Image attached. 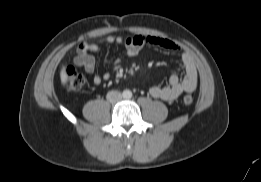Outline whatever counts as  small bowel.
<instances>
[{
    "label": "small bowel",
    "mask_w": 261,
    "mask_h": 182,
    "mask_svg": "<svg viewBox=\"0 0 261 182\" xmlns=\"http://www.w3.org/2000/svg\"><path fill=\"white\" fill-rule=\"evenodd\" d=\"M101 45L124 46L125 54L129 57L136 56L146 46L158 47L167 51L180 53V68L184 71V76L180 78L176 71L173 70L169 76L168 85L163 87L153 86L150 88V95L154 98L172 101L183 92H192L197 87L198 74L192 55L170 39L149 35H136L125 39L122 37L106 36L96 43L84 42L79 44L74 63L85 72L89 74L93 73L96 68V59L92 53H101ZM120 62L121 60L117 58L113 63V68H116ZM110 76L111 71L96 74L93 78V83L100 85L103 81L108 80Z\"/></svg>",
    "instance_id": "small-bowel-1"
}]
</instances>
